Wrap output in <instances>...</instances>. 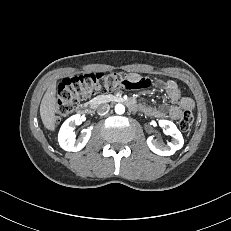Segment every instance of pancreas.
Masks as SVG:
<instances>
[{
    "mask_svg": "<svg viewBox=\"0 0 231 231\" xmlns=\"http://www.w3.org/2000/svg\"><path fill=\"white\" fill-rule=\"evenodd\" d=\"M105 98H107V97L106 96H101L99 99L104 100Z\"/></svg>",
    "mask_w": 231,
    "mask_h": 231,
    "instance_id": "pancreas-1",
    "label": "pancreas"
}]
</instances>
